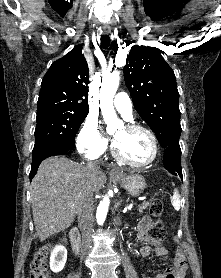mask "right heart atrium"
<instances>
[{
    "instance_id": "obj_1",
    "label": "right heart atrium",
    "mask_w": 221,
    "mask_h": 278,
    "mask_svg": "<svg viewBox=\"0 0 221 278\" xmlns=\"http://www.w3.org/2000/svg\"><path fill=\"white\" fill-rule=\"evenodd\" d=\"M76 145L78 151L90 159L99 158L105 153L108 141L94 116H88L84 121L77 135Z\"/></svg>"
}]
</instances>
